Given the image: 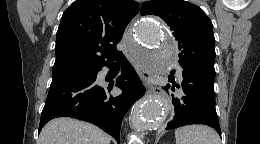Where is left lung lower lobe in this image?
<instances>
[{
    "label": "left lung lower lobe",
    "instance_id": "left-lung-lower-lobe-1",
    "mask_svg": "<svg viewBox=\"0 0 260 144\" xmlns=\"http://www.w3.org/2000/svg\"><path fill=\"white\" fill-rule=\"evenodd\" d=\"M164 87L172 94V114L166 129L189 124H205L213 127L220 135L221 130L215 109L214 79H210L190 68H183L181 77H169Z\"/></svg>",
    "mask_w": 260,
    "mask_h": 144
}]
</instances>
